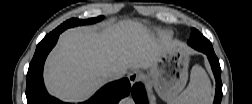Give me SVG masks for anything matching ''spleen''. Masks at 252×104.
I'll return each mask as SVG.
<instances>
[{
	"label": "spleen",
	"mask_w": 252,
	"mask_h": 104,
	"mask_svg": "<svg viewBox=\"0 0 252 104\" xmlns=\"http://www.w3.org/2000/svg\"><path fill=\"white\" fill-rule=\"evenodd\" d=\"M212 101L210 80L204 69L195 65L187 88L175 99L176 104H208Z\"/></svg>",
	"instance_id": "obj_1"
}]
</instances>
